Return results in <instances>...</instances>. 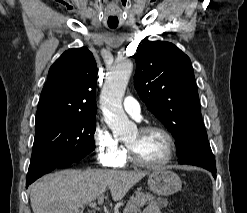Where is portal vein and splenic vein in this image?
Listing matches in <instances>:
<instances>
[{
	"instance_id": "portal-vein-and-splenic-vein-1",
	"label": "portal vein and splenic vein",
	"mask_w": 247,
	"mask_h": 213,
	"mask_svg": "<svg viewBox=\"0 0 247 213\" xmlns=\"http://www.w3.org/2000/svg\"><path fill=\"white\" fill-rule=\"evenodd\" d=\"M104 199V196L101 195L99 198H98V204H103V200Z\"/></svg>"
}]
</instances>
